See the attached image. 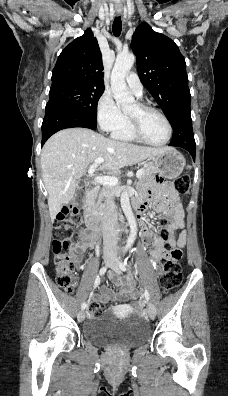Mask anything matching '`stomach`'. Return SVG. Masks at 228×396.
Segmentation results:
<instances>
[{
  "instance_id": "1",
  "label": "stomach",
  "mask_w": 228,
  "mask_h": 396,
  "mask_svg": "<svg viewBox=\"0 0 228 396\" xmlns=\"http://www.w3.org/2000/svg\"><path fill=\"white\" fill-rule=\"evenodd\" d=\"M157 173L168 179L177 178L185 166V158L175 149H168L165 152L151 157Z\"/></svg>"
}]
</instances>
